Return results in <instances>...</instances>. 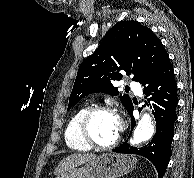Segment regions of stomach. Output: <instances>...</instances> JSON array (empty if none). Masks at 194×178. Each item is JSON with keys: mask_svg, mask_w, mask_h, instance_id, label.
I'll use <instances>...</instances> for the list:
<instances>
[{"mask_svg": "<svg viewBox=\"0 0 194 178\" xmlns=\"http://www.w3.org/2000/svg\"><path fill=\"white\" fill-rule=\"evenodd\" d=\"M136 163L134 156L106 153L80 168L69 169L56 178H119L132 171Z\"/></svg>", "mask_w": 194, "mask_h": 178, "instance_id": "0dacf381", "label": "stomach"}]
</instances>
